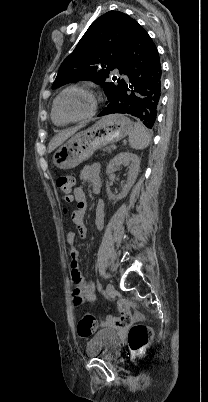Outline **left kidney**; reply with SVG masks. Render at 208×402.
Wrapping results in <instances>:
<instances>
[{
  "label": "left kidney",
  "mask_w": 208,
  "mask_h": 402,
  "mask_svg": "<svg viewBox=\"0 0 208 402\" xmlns=\"http://www.w3.org/2000/svg\"><path fill=\"white\" fill-rule=\"evenodd\" d=\"M120 166H128L129 168L127 182L124 188H122V194H119V196H113L112 192H110L109 182H106V192L109 194V200H122V198H126L138 176L140 170V158H138L136 154H130V152H121V154H117V156L107 164V176H111V174H113L117 168H120Z\"/></svg>",
  "instance_id": "5707ae66"
}]
</instances>
